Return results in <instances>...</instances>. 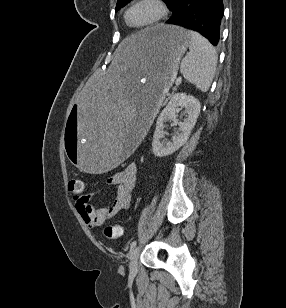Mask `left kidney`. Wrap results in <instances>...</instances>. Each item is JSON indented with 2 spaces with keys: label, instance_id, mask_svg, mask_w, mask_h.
<instances>
[{
  "label": "left kidney",
  "instance_id": "left-kidney-1",
  "mask_svg": "<svg viewBox=\"0 0 286 308\" xmlns=\"http://www.w3.org/2000/svg\"><path fill=\"white\" fill-rule=\"evenodd\" d=\"M178 107L185 108L188 114L183 122H178L176 118V111ZM201 104L198 99L192 95L185 93H176L168 102L167 106L160 113L156 129L153 135L152 150L155 156L164 157L171 155L177 151L182 145L186 143L189 135L195 126L197 118L200 114ZM172 120L180 127V133L172 137L171 142L163 144V136L165 135V123Z\"/></svg>",
  "mask_w": 286,
  "mask_h": 308
}]
</instances>
